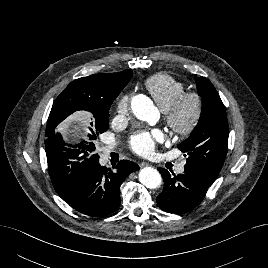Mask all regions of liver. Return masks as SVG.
Wrapping results in <instances>:
<instances>
[{
	"label": "liver",
	"instance_id": "1",
	"mask_svg": "<svg viewBox=\"0 0 268 268\" xmlns=\"http://www.w3.org/2000/svg\"><path fill=\"white\" fill-rule=\"evenodd\" d=\"M84 119V115H75L60 126V131L65 137H83L82 131L86 130Z\"/></svg>",
	"mask_w": 268,
	"mask_h": 268
}]
</instances>
